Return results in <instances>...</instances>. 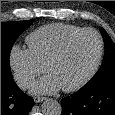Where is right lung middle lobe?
I'll list each match as a JSON object with an SVG mask.
<instances>
[{
  "label": "right lung middle lobe",
  "instance_id": "1",
  "mask_svg": "<svg viewBox=\"0 0 115 115\" xmlns=\"http://www.w3.org/2000/svg\"><path fill=\"white\" fill-rule=\"evenodd\" d=\"M32 22L33 19L1 23V80L13 79L9 64L10 52L17 37L26 30Z\"/></svg>",
  "mask_w": 115,
  "mask_h": 115
}]
</instances>
